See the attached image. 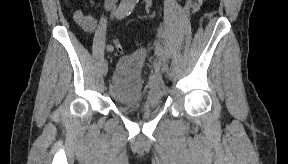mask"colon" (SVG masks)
Wrapping results in <instances>:
<instances>
[{"instance_id":"obj_1","label":"colon","mask_w":288,"mask_h":164,"mask_svg":"<svg viewBox=\"0 0 288 164\" xmlns=\"http://www.w3.org/2000/svg\"><path fill=\"white\" fill-rule=\"evenodd\" d=\"M92 26H93L92 24H89L87 26V28L91 29ZM113 43H114V45L117 48V52H114V55H122L123 53H122V45H121V43L117 39H113Z\"/></svg>"}]
</instances>
